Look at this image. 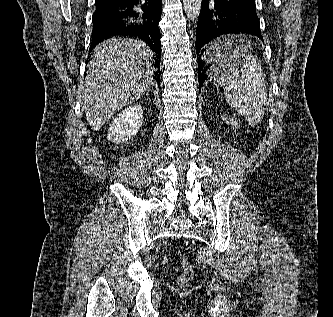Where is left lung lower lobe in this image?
I'll use <instances>...</instances> for the list:
<instances>
[{
	"instance_id": "left-lung-lower-lobe-1",
	"label": "left lung lower lobe",
	"mask_w": 333,
	"mask_h": 317,
	"mask_svg": "<svg viewBox=\"0 0 333 317\" xmlns=\"http://www.w3.org/2000/svg\"><path fill=\"white\" fill-rule=\"evenodd\" d=\"M249 33L263 41L255 0H202L196 29L199 90L209 68L227 59L226 48L216 44L207 54L202 47L221 35Z\"/></svg>"
}]
</instances>
